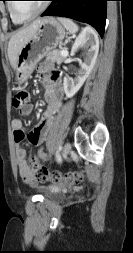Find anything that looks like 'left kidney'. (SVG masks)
Returning a JSON list of instances; mask_svg holds the SVG:
<instances>
[{
	"mask_svg": "<svg viewBox=\"0 0 133 253\" xmlns=\"http://www.w3.org/2000/svg\"><path fill=\"white\" fill-rule=\"evenodd\" d=\"M84 49V62L80 64V69L75 79L64 78V91L68 98L73 97L82 87L89 74L91 73L99 51V39L96 32L86 27L76 38L71 54L75 55L77 51Z\"/></svg>",
	"mask_w": 133,
	"mask_h": 253,
	"instance_id": "obj_1",
	"label": "left kidney"
}]
</instances>
